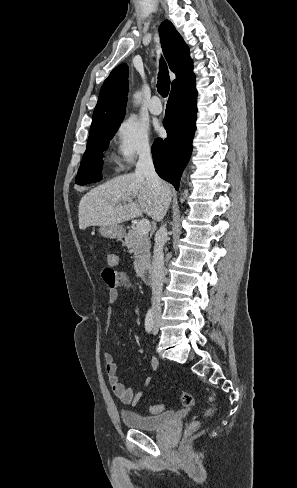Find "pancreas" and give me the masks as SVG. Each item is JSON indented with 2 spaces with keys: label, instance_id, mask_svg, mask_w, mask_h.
<instances>
[{
  "label": "pancreas",
  "instance_id": "cf45deb5",
  "mask_svg": "<svg viewBox=\"0 0 297 488\" xmlns=\"http://www.w3.org/2000/svg\"><path fill=\"white\" fill-rule=\"evenodd\" d=\"M125 245L134 253V268L139 272L150 263V238L147 233H139L136 228L125 236Z\"/></svg>",
  "mask_w": 297,
  "mask_h": 488
}]
</instances>
